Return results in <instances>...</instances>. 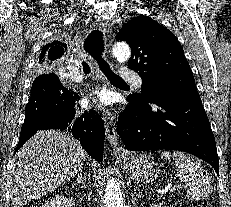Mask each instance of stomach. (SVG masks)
Returning <instances> with one entry per match:
<instances>
[{
  "mask_svg": "<svg viewBox=\"0 0 231 207\" xmlns=\"http://www.w3.org/2000/svg\"><path fill=\"white\" fill-rule=\"evenodd\" d=\"M120 164L128 177L139 183H150L159 175L157 162L148 154L125 156Z\"/></svg>",
  "mask_w": 231,
  "mask_h": 207,
  "instance_id": "1",
  "label": "stomach"
}]
</instances>
